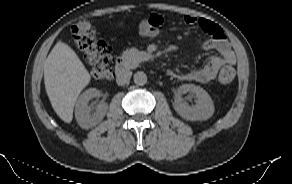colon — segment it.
Wrapping results in <instances>:
<instances>
[{
  "instance_id": "colon-1",
  "label": "colon",
  "mask_w": 292,
  "mask_h": 184,
  "mask_svg": "<svg viewBox=\"0 0 292 184\" xmlns=\"http://www.w3.org/2000/svg\"><path fill=\"white\" fill-rule=\"evenodd\" d=\"M161 21L151 15L140 23L141 33L149 38L160 33ZM72 35L76 47L83 53L86 61L92 66L91 75L95 81H110L113 78V58L109 46L96 37L94 26L90 20H82L72 27ZM235 69L224 66L219 72V82L229 84L235 77Z\"/></svg>"
}]
</instances>
